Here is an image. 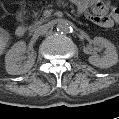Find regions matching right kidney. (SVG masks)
Masks as SVG:
<instances>
[{
	"mask_svg": "<svg viewBox=\"0 0 119 119\" xmlns=\"http://www.w3.org/2000/svg\"><path fill=\"white\" fill-rule=\"evenodd\" d=\"M26 44L19 41L7 52L5 57L6 71L11 75H21L28 72L35 63L36 53L32 51L25 60Z\"/></svg>",
	"mask_w": 119,
	"mask_h": 119,
	"instance_id": "1",
	"label": "right kidney"
}]
</instances>
